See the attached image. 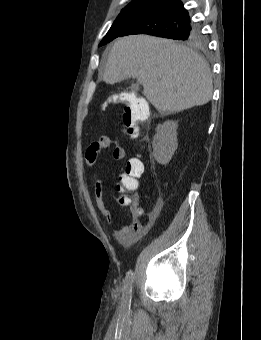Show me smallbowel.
Here are the masks:
<instances>
[{
  "mask_svg": "<svg viewBox=\"0 0 261 340\" xmlns=\"http://www.w3.org/2000/svg\"><path fill=\"white\" fill-rule=\"evenodd\" d=\"M112 144V140L108 135H102L98 140L93 142L85 152V164L89 167L95 165L99 154L108 149ZM125 149L121 146H115L112 151V158L115 161H120L125 158ZM125 175H122V179ZM95 204L99 212L109 223H113V216L109 209H107L104 201V183L102 180H98L94 189ZM132 222L127 225H123L114 230V236L123 244L130 245L140 237H142L152 226L154 216L148 217L146 223H142L141 218L143 211L139 206L138 200L135 199L131 206Z\"/></svg>",
  "mask_w": 261,
  "mask_h": 340,
  "instance_id": "1",
  "label": "small bowel"
}]
</instances>
